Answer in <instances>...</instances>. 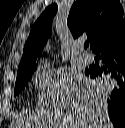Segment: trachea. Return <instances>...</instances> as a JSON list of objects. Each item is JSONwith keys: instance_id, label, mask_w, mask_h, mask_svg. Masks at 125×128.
<instances>
[{"instance_id": "1", "label": "trachea", "mask_w": 125, "mask_h": 128, "mask_svg": "<svg viewBox=\"0 0 125 128\" xmlns=\"http://www.w3.org/2000/svg\"><path fill=\"white\" fill-rule=\"evenodd\" d=\"M88 46H89V42H85V43H84V48L87 49Z\"/></svg>"}]
</instances>
